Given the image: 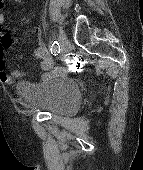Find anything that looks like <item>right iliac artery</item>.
<instances>
[{
    "label": "right iliac artery",
    "instance_id": "obj_1",
    "mask_svg": "<svg viewBox=\"0 0 143 170\" xmlns=\"http://www.w3.org/2000/svg\"><path fill=\"white\" fill-rule=\"evenodd\" d=\"M51 54L57 56L60 53V44L57 41H54L50 48Z\"/></svg>",
    "mask_w": 143,
    "mask_h": 170
}]
</instances>
